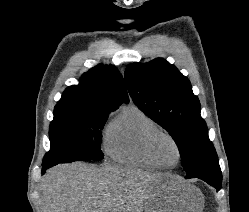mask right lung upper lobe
<instances>
[{
	"label": "right lung upper lobe",
	"instance_id": "1",
	"mask_svg": "<svg viewBox=\"0 0 249 212\" xmlns=\"http://www.w3.org/2000/svg\"><path fill=\"white\" fill-rule=\"evenodd\" d=\"M59 102L117 109L128 103L129 98L118 69L113 65H98L80 78L78 86L68 87Z\"/></svg>",
	"mask_w": 249,
	"mask_h": 212
}]
</instances>
